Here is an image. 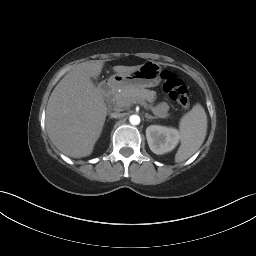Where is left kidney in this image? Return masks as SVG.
<instances>
[{
	"mask_svg": "<svg viewBox=\"0 0 256 256\" xmlns=\"http://www.w3.org/2000/svg\"><path fill=\"white\" fill-rule=\"evenodd\" d=\"M146 138L151 151L159 155L170 152L177 146L180 133L175 128L150 125L146 129Z\"/></svg>",
	"mask_w": 256,
	"mask_h": 256,
	"instance_id": "5707ae66",
	"label": "left kidney"
}]
</instances>
